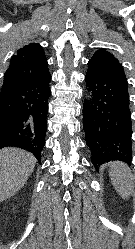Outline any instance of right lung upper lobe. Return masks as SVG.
I'll use <instances>...</instances> for the list:
<instances>
[{"instance_id":"cb5924a9","label":"right lung upper lobe","mask_w":135,"mask_h":249,"mask_svg":"<svg viewBox=\"0 0 135 249\" xmlns=\"http://www.w3.org/2000/svg\"><path fill=\"white\" fill-rule=\"evenodd\" d=\"M49 74L43 48L38 43H31L17 50V54L11 57L3 84L29 81Z\"/></svg>"}]
</instances>
